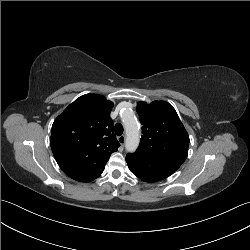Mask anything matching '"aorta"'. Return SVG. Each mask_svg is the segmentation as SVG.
I'll list each match as a JSON object with an SVG mask.
<instances>
[{
  "instance_id": "aorta-1",
  "label": "aorta",
  "mask_w": 250,
  "mask_h": 250,
  "mask_svg": "<svg viewBox=\"0 0 250 250\" xmlns=\"http://www.w3.org/2000/svg\"><path fill=\"white\" fill-rule=\"evenodd\" d=\"M122 121L126 130L125 148L128 152H134L140 142L139 123L129 110L123 113Z\"/></svg>"
}]
</instances>
